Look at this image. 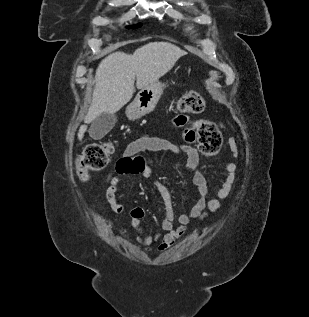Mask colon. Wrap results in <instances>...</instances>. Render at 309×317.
I'll list each match as a JSON object with an SVG mask.
<instances>
[{
    "label": "colon",
    "instance_id": "obj_1",
    "mask_svg": "<svg viewBox=\"0 0 309 317\" xmlns=\"http://www.w3.org/2000/svg\"><path fill=\"white\" fill-rule=\"evenodd\" d=\"M177 108L182 113L198 114L205 110L206 101L199 93L188 92L179 98ZM195 130L199 151L206 156L217 154L222 145V135L217 125L212 121L202 119L196 122ZM112 152L113 144L111 142L88 144L77 160V171L81 180H88L91 171L102 170L107 165Z\"/></svg>",
    "mask_w": 309,
    "mask_h": 317
}]
</instances>
